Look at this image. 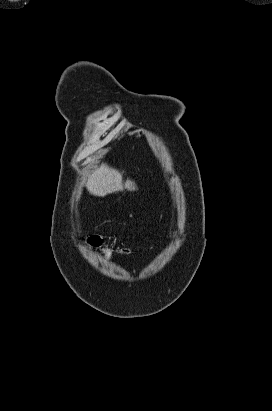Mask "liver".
<instances>
[{"mask_svg":"<svg viewBox=\"0 0 272 411\" xmlns=\"http://www.w3.org/2000/svg\"><path fill=\"white\" fill-rule=\"evenodd\" d=\"M86 187L89 193L99 197L123 191L124 189L128 191H135L137 189L135 182L129 179L123 183L122 174L118 170L110 168L107 164H102L89 176Z\"/></svg>","mask_w":272,"mask_h":411,"instance_id":"1","label":"liver"}]
</instances>
